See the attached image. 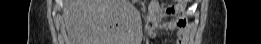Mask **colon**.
Wrapping results in <instances>:
<instances>
[{"instance_id":"obj_1","label":"colon","mask_w":261,"mask_h":44,"mask_svg":"<svg viewBox=\"0 0 261 44\" xmlns=\"http://www.w3.org/2000/svg\"><path fill=\"white\" fill-rule=\"evenodd\" d=\"M187 2H188V1H186V0L174 1V2H173V5H174V6H183V5H186Z\"/></svg>"}]
</instances>
